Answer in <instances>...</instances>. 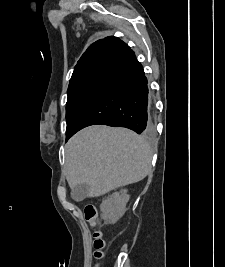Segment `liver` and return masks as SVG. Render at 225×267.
Masks as SVG:
<instances>
[{
  "label": "liver",
  "instance_id": "1",
  "mask_svg": "<svg viewBox=\"0 0 225 267\" xmlns=\"http://www.w3.org/2000/svg\"><path fill=\"white\" fill-rule=\"evenodd\" d=\"M152 154L146 140L129 129L92 125L65 146L66 179L71 188L87 184V197H99L143 180Z\"/></svg>",
  "mask_w": 225,
  "mask_h": 267
}]
</instances>
